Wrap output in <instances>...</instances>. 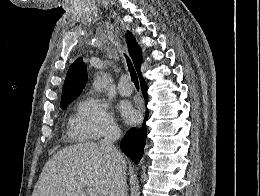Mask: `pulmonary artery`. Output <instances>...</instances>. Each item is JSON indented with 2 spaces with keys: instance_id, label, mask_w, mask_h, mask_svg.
<instances>
[{
  "instance_id": "pulmonary-artery-1",
  "label": "pulmonary artery",
  "mask_w": 260,
  "mask_h": 196,
  "mask_svg": "<svg viewBox=\"0 0 260 196\" xmlns=\"http://www.w3.org/2000/svg\"><path fill=\"white\" fill-rule=\"evenodd\" d=\"M118 86L121 95L129 96L133 92V85H129V81H118Z\"/></svg>"
}]
</instances>
